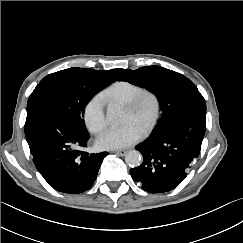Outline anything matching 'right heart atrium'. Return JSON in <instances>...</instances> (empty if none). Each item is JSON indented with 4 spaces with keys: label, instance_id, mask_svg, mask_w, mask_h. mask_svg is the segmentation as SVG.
<instances>
[{
    "label": "right heart atrium",
    "instance_id": "obj_1",
    "mask_svg": "<svg viewBox=\"0 0 243 243\" xmlns=\"http://www.w3.org/2000/svg\"><path fill=\"white\" fill-rule=\"evenodd\" d=\"M105 98L101 94L94 95L84 107V122L88 130L100 133L106 126Z\"/></svg>",
    "mask_w": 243,
    "mask_h": 243
}]
</instances>
